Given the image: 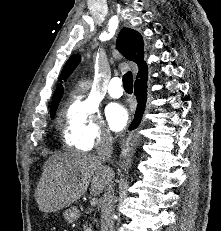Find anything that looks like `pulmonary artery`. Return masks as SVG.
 Here are the masks:
<instances>
[{
	"label": "pulmonary artery",
	"mask_w": 221,
	"mask_h": 231,
	"mask_svg": "<svg viewBox=\"0 0 221 231\" xmlns=\"http://www.w3.org/2000/svg\"><path fill=\"white\" fill-rule=\"evenodd\" d=\"M108 93L112 98H120L123 95L122 81L119 77H114L110 81Z\"/></svg>",
	"instance_id": "pulmonary-artery-1"
}]
</instances>
